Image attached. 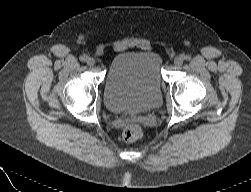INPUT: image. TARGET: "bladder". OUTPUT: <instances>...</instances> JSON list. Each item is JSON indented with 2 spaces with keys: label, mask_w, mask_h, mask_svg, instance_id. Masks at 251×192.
<instances>
[{
  "label": "bladder",
  "mask_w": 251,
  "mask_h": 192,
  "mask_svg": "<svg viewBox=\"0 0 251 192\" xmlns=\"http://www.w3.org/2000/svg\"><path fill=\"white\" fill-rule=\"evenodd\" d=\"M162 59L153 51H125L112 60L104 83L106 107L115 113L137 114L161 101Z\"/></svg>",
  "instance_id": "bladder-1"
}]
</instances>
